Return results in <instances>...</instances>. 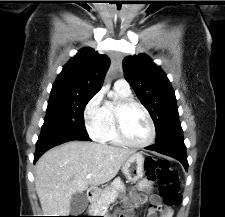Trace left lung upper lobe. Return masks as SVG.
<instances>
[{"label": "left lung upper lobe", "instance_id": "left-lung-upper-lobe-1", "mask_svg": "<svg viewBox=\"0 0 225 217\" xmlns=\"http://www.w3.org/2000/svg\"><path fill=\"white\" fill-rule=\"evenodd\" d=\"M123 69L126 80L154 121L155 143L181 134L175 94L160 67L147 55L140 54L125 57Z\"/></svg>", "mask_w": 225, "mask_h": 217}]
</instances>
